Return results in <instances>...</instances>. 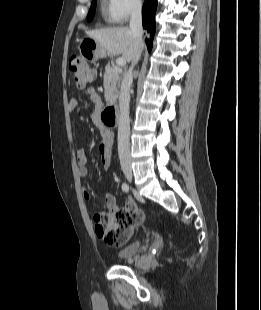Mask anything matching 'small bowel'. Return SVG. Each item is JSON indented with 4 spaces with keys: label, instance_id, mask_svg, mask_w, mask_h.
Segmentation results:
<instances>
[{
    "label": "small bowel",
    "instance_id": "small-bowel-1",
    "mask_svg": "<svg viewBox=\"0 0 261 310\" xmlns=\"http://www.w3.org/2000/svg\"><path fill=\"white\" fill-rule=\"evenodd\" d=\"M86 95L95 107V120L98 122L99 111L103 106V101L98 92L94 88H88L86 90ZM77 105L76 99H70L68 102V107L73 110ZM101 153V164L105 170L110 168L112 159V135L110 132L103 130V140L100 145ZM77 163H78V174L80 177L88 176V156L84 149H79L77 153ZM84 198L86 200L90 199V193L88 191L84 192ZM106 214H114L120 211L116 204V197L112 193H106L104 195ZM144 214V213H143ZM145 217V216H144ZM143 222V221H142Z\"/></svg>",
    "mask_w": 261,
    "mask_h": 310
}]
</instances>
